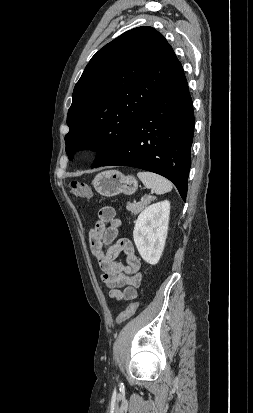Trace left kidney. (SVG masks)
<instances>
[{
  "instance_id": "left-kidney-1",
  "label": "left kidney",
  "mask_w": 253,
  "mask_h": 413,
  "mask_svg": "<svg viewBox=\"0 0 253 413\" xmlns=\"http://www.w3.org/2000/svg\"><path fill=\"white\" fill-rule=\"evenodd\" d=\"M170 202L165 200L146 207L138 216L133 238L139 254L151 265L159 262L168 231Z\"/></svg>"
}]
</instances>
